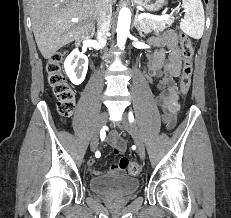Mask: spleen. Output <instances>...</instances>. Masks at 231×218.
<instances>
[{
    "instance_id": "spleen-1",
    "label": "spleen",
    "mask_w": 231,
    "mask_h": 218,
    "mask_svg": "<svg viewBox=\"0 0 231 218\" xmlns=\"http://www.w3.org/2000/svg\"><path fill=\"white\" fill-rule=\"evenodd\" d=\"M184 19L180 23L181 30L194 39L203 35L205 16L201 0H182Z\"/></svg>"
}]
</instances>
